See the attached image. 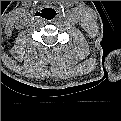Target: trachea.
I'll return each instance as SVG.
<instances>
[{"instance_id":"3493384b","label":"trachea","mask_w":121,"mask_h":121,"mask_svg":"<svg viewBox=\"0 0 121 121\" xmlns=\"http://www.w3.org/2000/svg\"><path fill=\"white\" fill-rule=\"evenodd\" d=\"M55 15L56 11L51 8L45 9L43 12V18H45L46 20H52Z\"/></svg>"}]
</instances>
